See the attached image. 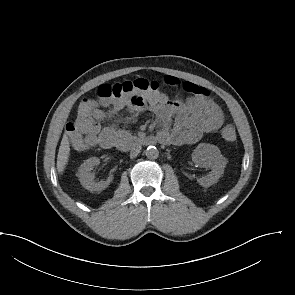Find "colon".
<instances>
[{"mask_svg":"<svg viewBox=\"0 0 295 295\" xmlns=\"http://www.w3.org/2000/svg\"><path fill=\"white\" fill-rule=\"evenodd\" d=\"M159 89L157 82L146 79H136L115 84H102L96 90L98 101L87 98L81 101L77 118L88 117L98 103H108L112 100L133 93H147ZM221 136L226 142L233 143L236 140V131L231 124L225 125L221 130Z\"/></svg>","mask_w":295,"mask_h":295,"instance_id":"1","label":"colon"}]
</instances>
